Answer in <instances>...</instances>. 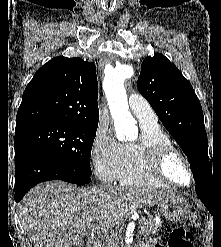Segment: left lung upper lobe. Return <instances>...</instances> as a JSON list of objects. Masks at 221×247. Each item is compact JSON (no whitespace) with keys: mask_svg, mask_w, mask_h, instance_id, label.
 <instances>
[{"mask_svg":"<svg viewBox=\"0 0 221 247\" xmlns=\"http://www.w3.org/2000/svg\"><path fill=\"white\" fill-rule=\"evenodd\" d=\"M138 90L186 154L197 184L214 181L203 111L190 82L164 55L146 57Z\"/></svg>","mask_w":221,"mask_h":247,"instance_id":"left-lung-upper-lobe-1","label":"left lung upper lobe"}]
</instances>
